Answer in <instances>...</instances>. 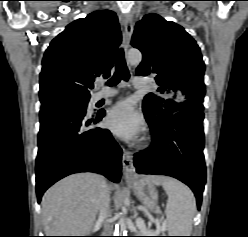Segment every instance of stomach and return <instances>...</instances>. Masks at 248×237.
Wrapping results in <instances>:
<instances>
[{"mask_svg": "<svg viewBox=\"0 0 248 237\" xmlns=\"http://www.w3.org/2000/svg\"><path fill=\"white\" fill-rule=\"evenodd\" d=\"M132 188L136 197L140 202L150 211L157 209L158 204V192L155 188V184L149 177H142L132 182Z\"/></svg>", "mask_w": 248, "mask_h": 237, "instance_id": "obj_1", "label": "stomach"}]
</instances>
